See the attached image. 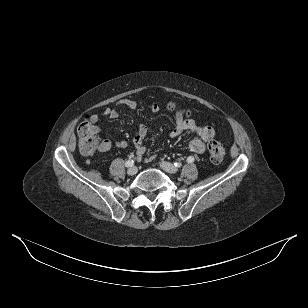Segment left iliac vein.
<instances>
[{
  "mask_svg": "<svg viewBox=\"0 0 308 308\" xmlns=\"http://www.w3.org/2000/svg\"><path fill=\"white\" fill-rule=\"evenodd\" d=\"M160 167L168 173H176L178 171L176 166L168 162H161Z\"/></svg>",
  "mask_w": 308,
  "mask_h": 308,
  "instance_id": "4c4485c4",
  "label": "left iliac vein"
}]
</instances>
